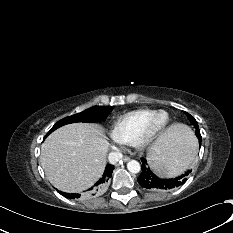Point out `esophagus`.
Listing matches in <instances>:
<instances>
[{
    "mask_svg": "<svg viewBox=\"0 0 233 233\" xmlns=\"http://www.w3.org/2000/svg\"><path fill=\"white\" fill-rule=\"evenodd\" d=\"M129 160H130L129 157H127V156H124V157H123V161H124V162H127V161H129Z\"/></svg>",
    "mask_w": 233,
    "mask_h": 233,
    "instance_id": "obj_1",
    "label": "esophagus"
}]
</instances>
